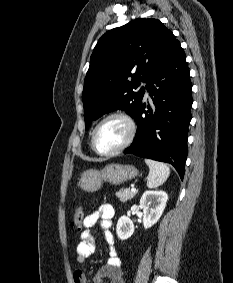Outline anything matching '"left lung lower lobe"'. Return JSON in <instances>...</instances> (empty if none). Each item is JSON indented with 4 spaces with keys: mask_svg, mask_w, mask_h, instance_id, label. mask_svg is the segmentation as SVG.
I'll return each instance as SVG.
<instances>
[{
    "mask_svg": "<svg viewBox=\"0 0 233 283\" xmlns=\"http://www.w3.org/2000/svg\"><path fill=\"white\" fill-rule=\"evenodd\" d=\"M145 88L154 105L142 102L134 117L138 132L124 153L170 163L183 179L193 100L186 55L180 43L151 74Z\"/></svg>",
    "mask_w": 233,
    "mask_h": 283,
    "instance_id": "obj_1",
    "label": "left lung lower lobe"
}]
</instances>
